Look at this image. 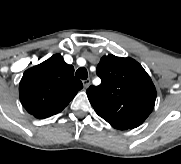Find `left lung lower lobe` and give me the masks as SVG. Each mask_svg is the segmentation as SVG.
Wrapping results in <instances>:
<instances>
[{
  "label": "left lung lower lobe",
  "instance_id": "left-lung-lower-lobe-1",
  "mask_svg": "<svg viewBox=\"0 0 181 164\" xmlns=\"http://www.w3.org/2000/svg\"><path fill=\"white\" fill-rule=\"evenodd\" d=\"M113 127L117 128V129H120V130H126V129H128L127 127L116 126V125H114Z\"/></svg>",
  "mask_w": 181,
  "mask_h": 164
}]
</instances>
